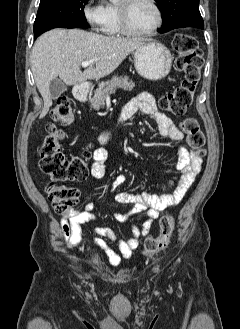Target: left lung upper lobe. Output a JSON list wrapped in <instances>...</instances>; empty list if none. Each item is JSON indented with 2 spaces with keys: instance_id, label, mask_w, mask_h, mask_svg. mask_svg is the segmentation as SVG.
<instances>
[{
  "instance_id": "1",
  "label": "left lung upper lobe",
  "mask_w": 240,
  "mask_h": 329,
  "mask_svg": "<svg viewBox=\"0 0 240 329\" xmlns=\"http://www.w3.org/2000/svg\"><path fill=\"white\" fill-rule=\"evenodd\" d=\"M161 11L163 25L160 33L175 28L197 27L204 28L199 11V0H155Z\"/></svg>"
}]
</instances>
